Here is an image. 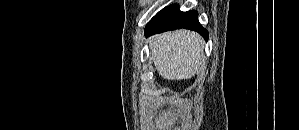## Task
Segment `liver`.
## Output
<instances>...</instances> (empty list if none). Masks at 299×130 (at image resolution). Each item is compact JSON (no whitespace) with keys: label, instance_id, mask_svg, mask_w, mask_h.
<instances>
[{"label":"liver","instance_id":"liver-1","mask_svg":"<svg viewBox=\"0 0 299 130\" xmlns=\"http://www.w3.org/2000/svg\"><path fill=\"white\" fill-rule=\"evenodd\" d=\"M203 48L204 41L199 34L176 30L152 38L151 59L163 78L189 79L203 66Z\"/></svg>","mask_w":299,"mask_h":130}]
</instances>
